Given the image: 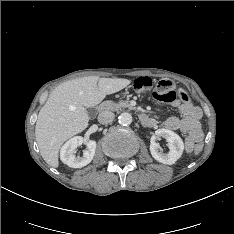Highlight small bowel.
Listing matches in <instances>:
<instances>
[{
    "label": "small bowel",
    "mask_w": 234,
    "mask_h": 234,
    "mask_svg": "<svg viewBox=\"0 0 234 234\" xmlns=\"http://www.w3.org/2000/svg\"><path fill=\"white\" fill-rule=\"evenodd\" d=\"M162 103L168 104L172 107H175L179 110L180 116H172L167 118L163 126L167 130H180L183 133L189 135L187 146L190 148L191 144L194 141H198L202 139L203 132L201 129L200 120L202 118V111L200 108L194 106L191 103H181L178 99H173L171 101H163L159 100ZM149 118V121L145 123L148 127H154L156 125V121L153 118Z\"/></svg>",
    "instance_id": "c3829d8e"
}]
</instances>
